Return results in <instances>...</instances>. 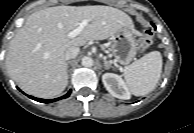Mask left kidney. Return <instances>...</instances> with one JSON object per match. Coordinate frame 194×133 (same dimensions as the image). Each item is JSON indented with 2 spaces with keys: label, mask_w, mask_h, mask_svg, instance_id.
Masks as SVG:
<instances>
[{
  "label": "left kidney",
  "mask_w": 194,
  "mask_h": 133,
  "mask_svg": "<svg viewBox=\"0 0 194 133\" xmlns=\"http://www.w3.org/2000/svg\"><path fill=\"white\" fill-rule=\"evenodd\" d=\"M102 81L112 96L124 100L130 99V92L121 76L114 73H105L102 76Z\"/></svg>",
  "instance_id": "left-kidney-1"
}]
</instances>
